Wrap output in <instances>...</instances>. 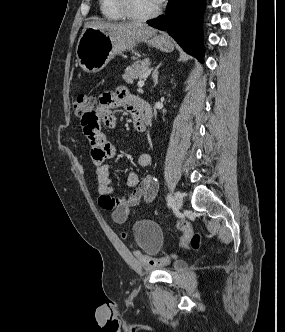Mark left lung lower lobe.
<instances>
[{
	"instance_id": "1",
	"label": "left lung lower lobe",
	"mask_w": 285,
	"mask_h": 332,
	"mask_svg": "<svg viewBox=\"0 0 285 332\" xmlns=\"http://www.w3.org/2000/svg\"><path fill=\"white\" fill-rule=\"evenodd\" d=\"M165 15L147 21L159 30L168 31L187 53L203 62L202 13L204 0H171Z\"/></svg>"
}]
</instances>
